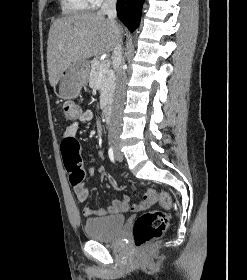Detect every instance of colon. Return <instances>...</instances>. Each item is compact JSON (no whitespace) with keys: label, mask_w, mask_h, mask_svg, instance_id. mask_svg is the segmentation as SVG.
I'll return each mask as SVG.
<instances>
[{"label":"colon","mask_w":247,"mask_h":280,"mask_svg":"<svg viewBox=\"0 0 247 280\" xmlns=\"http://www.w3.org/2000/svg\"><path fill=\"white\" fill-rule=\"evenodd\" d=\"M64 115L68 120H76L80 109L74 102H66L63 106ZM80 145L76 139H65L61 144V151L65 168L74 191H87L89 184L84 180L85 171L79 153ZM145 197L147 200H157L165 210L171 208L172 200L168 193L150 189ZM168 218L163 211L151 210L141 214L133 225V239L137 247H143L150 241L159 238L167 229Z\"/></svg>","instance_id":"1"}]
</instances>
